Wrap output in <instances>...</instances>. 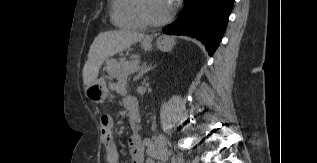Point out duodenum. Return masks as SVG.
<instances>
[{
	"mask_svg": "<svg viewBox=\"0 0 317 163\" xmlns=\"http://www.w3.org/2000/svg\"><path fill=\"white\" fill-rule=\"evenodd\" d=\"M130 121L133 127L134 132H136L139 123H140V114L139 113H130Z\"/></svg>",
	"mask_w": 317,
	"mask_h": 163,
	"instance_id": "410a0bca",
	"label": "duodenum"
}]
</instances>
